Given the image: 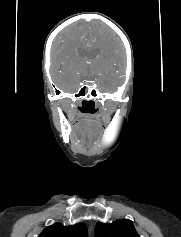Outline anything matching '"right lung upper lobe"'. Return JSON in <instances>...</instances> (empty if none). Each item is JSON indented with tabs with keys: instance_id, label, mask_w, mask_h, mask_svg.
I'll list each match as a JSON object with an SVG mask.
<instances>
[{
	"instance_id": "obj_1",
	"label": "right lung upper lobe",
	"mask_w": 181,
	"mask_h": 237,
	"mask_svg": "<svg viewBox=\"0 0 181 237\" xmlns=\"http://www.w3.org/2000/svg\"><path fill=\"white\" fill-rule=\"evenodd\" d=\"M38 237H88V230L84 223L64 226L57 222L45 228Z\"/></svg>"
}]
</instances>
